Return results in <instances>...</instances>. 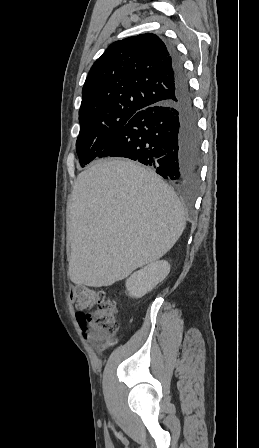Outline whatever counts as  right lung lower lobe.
I'll return each instance as SVG.
<instances>
[{
	"instance_id": "obj_1",
	"label": "right lung lower lobe",
	"mask_w": 259,
	"mask_h": 448,
	"mask_svg": "<svg viewBox=\"0 0 259 448\" xmlns=\"http://www.w3.org/2000/svg\"><path fill=\"white\" fill-rule=\"evenodd\" d=\"M167 48L175 76L173 97L136 113L97 157L130 158L176 185L193 186L201 163L197 114L179 55L173 45Z\"/></svg>"
}]
</instances>
